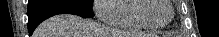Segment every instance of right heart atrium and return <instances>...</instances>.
Masks as SVG:
<instances>
[{
    "mask_svg": "<svg viewBox=\"0 0 219 37\" xmlns=\"http://www.w3.org/2000/svg\"><path fill=\"white\" fill-rule=\"evenodd\" d=\"M119 0H95L93 9L97 17L109 24H114L118 18Z\"/></svg>",
    "mask_w": 219,
    "mask_h": 37,
    "instance_id": "d8ad5b80",
    "label": "right heart atrium"
}]
</instances>
